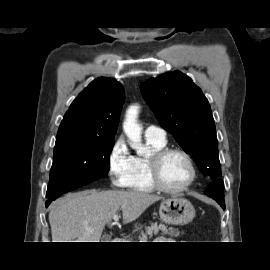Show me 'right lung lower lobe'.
Instances as JSON below:
<instances>
[{"label":"right lung lower lobe","instance_id":"obj_1","mask_svg":"<svg viewBox=\"0 0 270 270\" xmlns=\"http://www.w3.org/2000/svg\"><path fill=\"white\" fill-rule=\"evenodd\" d=\"M52 200H53V199H48V200L46 201V203H45V204H46V207L49 206V204L51 203Z\"/></svg>","mask_w":270,"mask_h":270}]
</instances>
